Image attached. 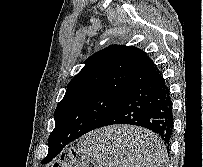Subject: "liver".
<instances>
[{
  "label": "liver",
  "instance_id": "1",
  "mask_svg": "<svg viewBox=\"0 0 203 167\" xmlns=\"http://www.w3.org/2000/svg\"><path fill=\"white\" fill-rule=\"evenodd\" d=\"M114 143L115 154L135 164L143 157L142 148L148 137L153 136L148 130L134 126H114L106 129Z\"/></svg>",
  "mask_w": 203,
  "mask_h": 167
}]
</instances>
